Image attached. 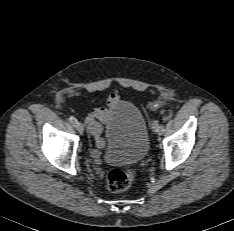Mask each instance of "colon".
<instances>
[{"mask_svg": "<svg viewBox=\"0 0 234 231\" xmlns=\"http://www.w3.org/2000/svg\"><path fill=\"white\" fill-rule=\"evenodd\" d=\"M134 180L132 169H112L107 176V187L112 192L124 191L130 187Z\"/></svg>", "mask_w": 234, "mask_h": 231, "instance_id": "5ec220e1", "label": "colon"}]
</instances>
